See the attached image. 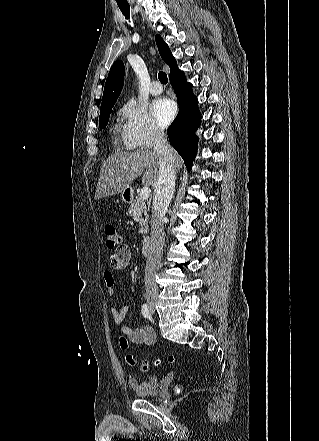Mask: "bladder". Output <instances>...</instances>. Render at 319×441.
Here are the masks:
<instances>
[{
	"mask_svg": "<svg viewBox=\"0 0 319 441\" xmlns=\"http://www.w3.org/2000/svg\"><path fill=\"white\" fill-rule=\"evenodd\" d=\"M129 383L134 394L139 398L155 397L160 388L159 378L157 376H150L142 381L130 379Z\"/></svg>",
	"mask_w": 319,
	"mask_h": 441,
	"instance_id": "obj_1",
	"label": "bladder"
}]
</instances>
